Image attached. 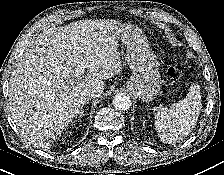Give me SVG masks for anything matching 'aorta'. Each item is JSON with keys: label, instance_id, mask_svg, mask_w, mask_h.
<instances>
[{"label": "aorta", "instance_id": "1", "mask_svg": "<svg viewBox=\"0 0 224 175\" xmlns=\"http://www.w3.org/2000/svg\"><path fill=\"white\" fill-rule=\"evenodd\" d=\"M131 104L130 97L125 93L116 94L113 98V106L117 110H128Z\"/></svg>", "mask_w": 224, "mask_h": 175}]
</instances>
